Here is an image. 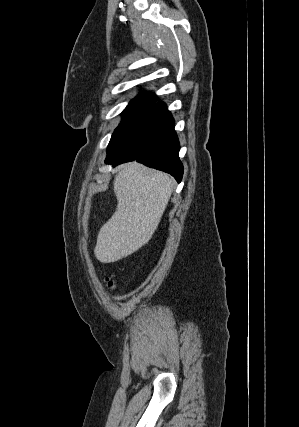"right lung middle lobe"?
<instances>
[{"label": "right lung middle lobe", "instance_id": "obj_1", "mask_svg": "<svg viewBox=\"0 0 299 427\" xmlns=\"http://www.w3.org/2000/svg\"><path fill=\"white\" fill-rule=\"evenodd\" d=\"M154 105V103L150 102L131 101L122 112V121L115 129L107 151L125 137L149 113Z\"/></svg>", "mask_w": 299, "mask_h": 427}]
</instances>
